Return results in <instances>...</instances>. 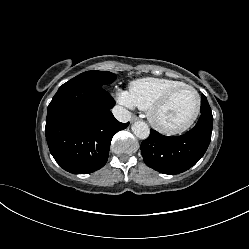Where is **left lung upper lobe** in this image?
<instances>
[{
    "mask_svg": "<svg viewBox=\"0 0 249 249\" xmlns=\"http://www.w3.org/2000/svg\"><path fill=\"white\" fill-rule=\"evenodd\" d=\"M201 113H203V114L211 113V108H210L208 101L204 95H202V98H201Z\"/></svg>",
    "mask_w": 249,
    "mask_h": 249,
    "instance_id": "5c2ea615",
    "label": "left lung upper lobe"
}]
</instances>
